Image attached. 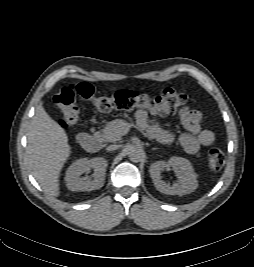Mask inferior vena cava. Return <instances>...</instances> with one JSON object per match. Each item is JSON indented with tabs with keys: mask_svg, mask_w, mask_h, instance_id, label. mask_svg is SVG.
<instances>
[{
	"mask_svg": "<svg viewBox=\"0 0 254 267\" xmlns=\"http://www.w3.org/2000/svg\"><path fill=\"white\" fill-rule=\"evenodd\" d=\"M118 149V146L117 145H109L106 150L107 151H114V150H117Z\"/></svg>",
	"mask_w": 254,
	"mask_h": 267,
	"instance_id": "1",
	"label": "inferior vena cava"
}]
</instances>
